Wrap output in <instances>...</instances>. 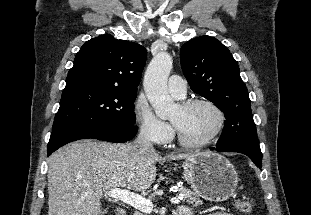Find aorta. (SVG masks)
Wrapping results in <instances>:
<instances>
[{"mask_svg":"<svg viewBox=\"0 0 311 215\" xmlns=\"http://www.w3.org/2000/svg\"><path fill=\"white\" fill-rule=\"evenodd\" d=\"M172 57L166 52L158 53L150 62L144 76V90L156 115L167 118L175 103L167 91V79L172 69Z\"/></svg>","mask_w":311,"mask_h":215,"instance_id":"762f6f07","label":"aorta"}]
</instances>
